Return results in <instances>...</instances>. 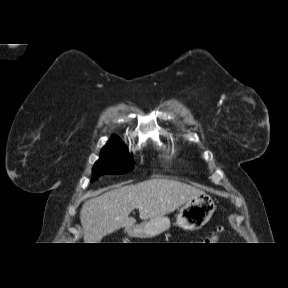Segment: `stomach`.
I'll return each mask as SVG.
<instances>
[{
  "instance_id": "stomach-1",
  "label": "stomach",
  "mask_w": 288,
  "mask_h": 288,
  "mask_svg": "<svg viewBox=\"0 0 288 288\" xmlns=\"http://www.w3.org/2000/svg\"><path fill=\"white\" fill-rule=\"evenodd\" d=\"M215 209L213 199L205 192H201L182 206L176 218V225L184 230L200 229L210 220ZM170 225V220L162 216L127 227L125 230L130 237L152 238L168 230Z\"/></svg>"
}]
</instances>
